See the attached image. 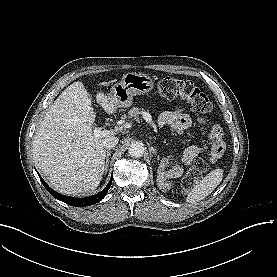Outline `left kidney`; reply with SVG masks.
Instances as JSON below:
<instances>
[{
    "mask_svg": "<svg viewBox=\"0 0 277 277\" xmlns=\"http://www.w3.org/2000/svg\"><path fill=\"white\" fill-rule=\"evenodd\" d=\"M166 163L165 161H162V163L159 166L158 170V176H157V181L159 182V187L166 189L168 187V184L165 182L166 179L173 178L174 174L172 170L165 171Z\"/></svg>",
    "mask_w": 277,
    "mask_h": 277,
    "instance_id": "5707ae66",
    "label": "left kidney"
}]
</instances>
